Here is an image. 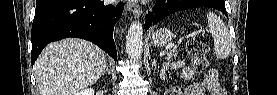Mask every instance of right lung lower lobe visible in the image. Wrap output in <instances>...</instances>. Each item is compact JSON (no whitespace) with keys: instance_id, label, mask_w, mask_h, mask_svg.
Listing matches in <instances>:
<instances>
[{"instance_id":"98d812e1","label":"right lung lower lobe","mask_w":277,"mask_h":95,"mask_svg":"<svg viewBox=\"0 0 277 95\" xmlns=\"http://www.w3.org/2000/svg\"><path fill=\"white\" fill-rule=\"evenodd\" d=\"M124 5H107L100 0H36L32 25L31 62L50 42L77 37L93 42L116 61L114 25Z\"/></svg>"}]
</instances>
